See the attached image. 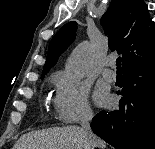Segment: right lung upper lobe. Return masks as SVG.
Listing matches in <instances>:
<instances>
[{
    "mask_svg": "<svg viewBox=\"0 0 155 149\" xmlns=\"http://www.w3.org/2000/svg\"><path fill=\"white\" fill-rule=\"evenodd\" d=\"M101 25L108 34L109 48L123 54V70L155 60V23L143 0H112ZM76 29L77 23L69 22L52 38L41 77L73 41Z\"/></svg>",
    "mask_w": 155,
    "mask_h": 149,
    "instance_id": "1",
    "label": "right lung upper lobe"
}]
</instances>
